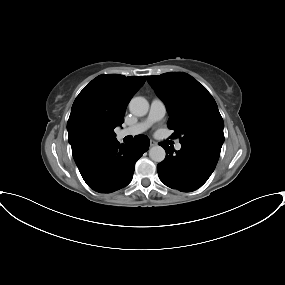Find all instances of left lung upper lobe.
I'll return each instance as SVG.
<instances>
[{
	"label": "left lung upper lobe",
	"instance_id": "obj_1",
	"mask_svg": "<svg viewBox=\"0 0 285 285\" xmlns=\"http://www.w3.org/2000/svg\"><path fill=\"white\" fill-rule=\"evenodd\" d=\"M170 115L168 127L180 143L205 146L221 151L224 122L217 104L207 89L186 73L147 76Z\"/></svg>",
	"mask_w": 285,
	"mask_h": 285
}]
</instances>
